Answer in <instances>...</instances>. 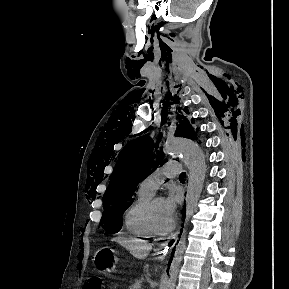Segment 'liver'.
Here are the masks:
<instances>
[{"mask_svg":"<svg viewBox=\"0 0 289 289\" xmlns=\"http://www.w3.org/2000/svg\"><path fill=\"white\" fill-rule=\"evenodd\" d=\"M113 241L118 242L125 247L130 253L138 259H145L148 256L151 246L137 239L114 238Z\"/></svg>","mask_w":289,"mask_h":289,"instance_id":"6515ba94","label":"liver"}]
</instances>
